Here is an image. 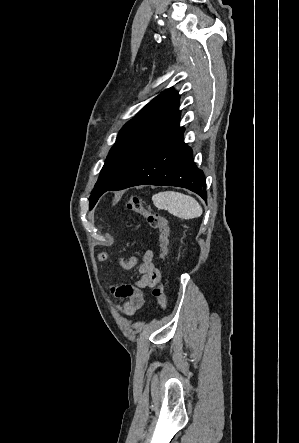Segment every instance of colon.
<instances>
[{"instance_id":"colon-1","label":"colon","mask_w":299,"mask_h":443,"mask_svg":"<svg viewBox=\"0 0 299 443\" xmlns=\"http://www.w3.org/2000/svg\"><path fill=\"white\" fill-rule=\"evenodd\" d=\"M126 207L128 210L142 216L150 227L159 231L160 258L164 261L169 251V226L166 218L146 208L141 198L136 195L130 196L126 202ZM152 294L158 300L161 310L164 311L167 307V299L161 283L153 288Z\"/></svg>"}]
</instances>
